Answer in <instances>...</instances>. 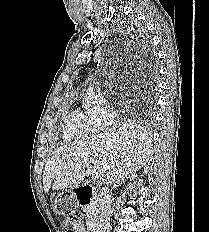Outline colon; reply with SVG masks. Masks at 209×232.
Wrapping results in <instances>:
<instances>
[{
  "label": "colon",
  "instance_id": "1",
  "mask_svg": "<svg viewBox=\"0 0 209 232\" xmlns=\"http://www.w3.org/2000/svg\"><path fill=\"white\" fill-rule=\"evenodd\" d=\"M69 222H71V223H72V222H74V221H69ZM67 232H71V230H68Z\"/></svg>",
  "mask_w": 209,
  "mask_h": 232
}]
</instances>
